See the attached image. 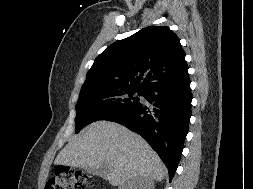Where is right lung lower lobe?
I'll list each match as a JSON object with an SVG mask.
<instances>
[{
  "label": "right lung lower lobe",
  "instance_id": "98d812e1",
  "mask_svg": "<svg viewBox=\"0 0 253 189\" xmlns=\"http://www.w3.org/2000/svg\"><path fill=\"white\" fill-rule=\"evenodd\" d=\"M142 96L150 105L139 102L106 120L120 123L142 136L167 166L171 181L182 154L191 117L189 76L177 82L152 86L143 91Z\"/></svg>",
  "mask_w": 253,
  "mask_h": 189
}]
</instances>
